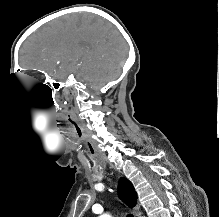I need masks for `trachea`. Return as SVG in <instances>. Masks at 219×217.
I'll return each mask as SVG.
<instances>
[{
    "label": "trachea",
    "instance_id": "obj_1",
    "mask_svg": "<svg viewBox=\"0 0 219 217\" xmlns=\"http://www.w3.org/2000/svg\"><path fill=\"white\" fill-rule=\"evenodd\" d=\"M127 217H134L132 214H128Z\"/></svg>",
    "mask_w": 219,
    "mask_h": 217
}]
</instances>
